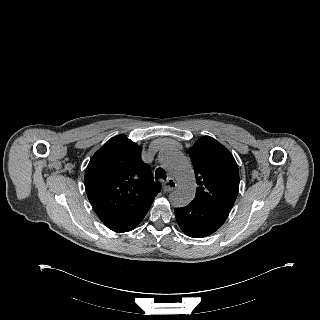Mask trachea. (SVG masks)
<instances>
[{
    "label": "trachea",
    "instance_id": "3493384b",
    "mask_svg": "<svg viewBox=\"0 0 320 320\" xmlns=\"http://www.w3.org/2000/svg\"><path fill=\"white\" fill-rule=\"evenodd\" d=\"M166 173L161 169V168H157L155 171V179L159 180V179H166Z\"/></svg>",
    "mask_w": 320,
    "mask_h": 320
}]
</instances>
